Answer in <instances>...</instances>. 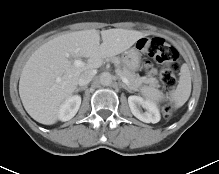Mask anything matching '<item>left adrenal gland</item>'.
Here are the masks:
<instances>
[{
	"instance_id": "a2214340",
	"label": "left adrenal gland",
	"mask_w": 219,
	"mask_h": 174,
	"mask_svg": "<svg viewBox=\"0 0 219 174\" xmlns=\"http://www.w3.org/2000/svg\"><path fill=\"white\" fill-rule=\"evenodd\" d=\"M122 87L126 89L128 92H132V90L128 86H126L124 83H122Z\"/></svg>"
}]
</instances>
